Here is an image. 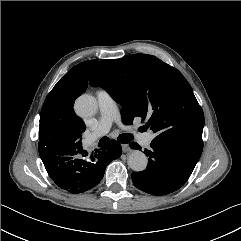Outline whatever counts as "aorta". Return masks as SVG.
Here are the masks:
<instances>
[{
    "mask_svg": "<svg viewBox=\"0 0 241 241\" xmlns=\"http://www.w3.org/2000/svg\"><path fill=\"white\" fill-rule=\"evenodd\" d=\"M75 111L81 117H90L96 114L98 104L96 99L88 94L79 96L75 101ZM128 166L135 172L144 171L147 167L146 155L139 151L134 150L128 156Z\"/></svg>",
    "mask_w": 241,
    "mask_h": 241,
    "instance_id": "1",
    "label": "aorta"
}]
</instances>
